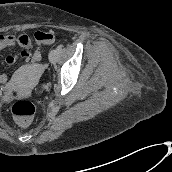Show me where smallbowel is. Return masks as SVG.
Segmentation results:
<instances>
[{"mask_svg":"<svg viewBox=\"0 0 172 172\" xmlns=\"http://www.w3.org/2000/svg\"><path fill=\"white\" fill-rule=\"evenodd\" d=\"M45 32H36L33 36L27 34H2L0 33V50L19 46L21 51L18 54L9 55L5 61L8 65L15 64L19 58L26 62H38L41 60L40 47L42 44H49L41 42L39 39ZM35 45L37 47L35 48ZM8 80L6 74L0 75V83H4Z\"/></svg>","mask_w":172,"mask_h":172,"instance_id":"small-bowel-1","label":"small bowel"}]
</instances>
